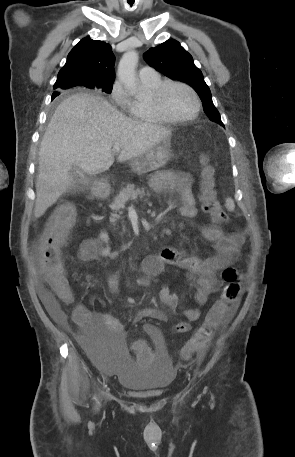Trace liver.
I'll return each instance as SVG.
<instances>
[{
    "label": "liver",
    "mask_w": 295,
    "mask_h": 457,
    "mask_svg": "<svg viewBox=\"0 0 295 457\" xmlns=\"http://www.w3.org/2000/svg\"><path fill=\"white\" fill-rule=\"evenodd\" d=\"M171 133L166 127L126 117L100 96L75 94L64 99L40 145L35 218L71 188L73 165L96 175L114 163L115 143L121 147L118 160L124 162L169 139Z\"/></svg>",
    "instance_id": "6515ba94"
}]
</instances>
